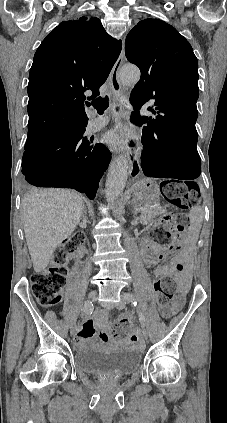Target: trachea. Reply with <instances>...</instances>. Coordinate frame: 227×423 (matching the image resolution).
<instances>
[{
  "label": "trachea",
  "instance_id": "obj_1",
  "mask_svg": "<svg viewBox=\"0 0 227 423\" xmlns=\"http://www.w3.org/2000/svg\"><path fill=\"white\" fill-rule=\"evenodd\" d=\"M92 105L93 107L97 110V112L102 115L104 113V111L108 108L109 106V99L108 96H105V98L102 97H98L96 98V100L92 101Z\"/></svg>",
  "mask_w": 227,
  "mask_h": 423
}]
</instances>
